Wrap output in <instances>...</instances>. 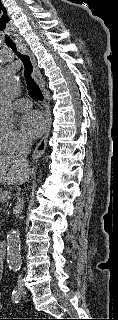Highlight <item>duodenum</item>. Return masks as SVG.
Here are the masks:
<instances>
[{
  "label": "duodenum",
  "instance_id": "obj_1",
  "mask_svg": "<svg viewBox=\"0 0 118 320\" xmlns=\"http://www.w3.org/2000/svg\"><path fill=\"white\" fill-rule=\"evenodd\" d=\"M7 254V242L0 241V262H2L6 258Z\"/></svg>",
  "mask_w": 118,
  "mask_h": 320
}]
</instances>
